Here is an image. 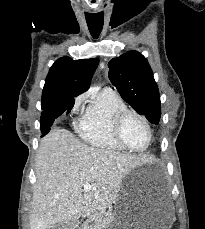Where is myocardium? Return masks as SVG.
I'll return each instance as SVG.
<instances>
[{
    "label": "myocardium",
    "instance_id": "myocardium-1",
    "mask_svg": "<svg viewBox=\"0 0 205 229\" xmlns=\"http://www.w3.org/2000/svg\"><path fill=\"white\" fill-rule=\"evenodd\" d=\"M130 117H135L138 120H140L144 124V126L146 127V129H147V132H148V142H147L146 146L143 147V148H141V149H136V148H133V147L129 146L127 144V142L125 141L124 137H123V128H124V125H125L126 121ZM113 131H114V135H115L116 140L126 150H129L131 152L141 153V152L146 151L150 147V145L152 143V140H153V132H152V128H151V125L148 122V120L143 115H141L140 113H138V112H136L134 110L128 109V108L127 109H124V110H121V111H119L117 113V115L115 117V120H114Z\"/></svg>",
    "mask_w": 205,
    "mask_h": 229
}]
</instances>
